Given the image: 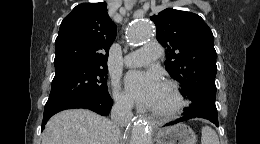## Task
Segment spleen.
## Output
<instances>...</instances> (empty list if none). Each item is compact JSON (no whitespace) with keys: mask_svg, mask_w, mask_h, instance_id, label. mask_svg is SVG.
<instances>
[{"mask_svg":"<svg viewBox=\"0 0 260 144\" xmlns=\"http://www.w3.org/2000/svg\"><path fill=\"white\" fill-rule=\"evenodd\" d=\"M201 132V144H219L218 135L211 127L203 126Z\"/></svg>","mask_w":260,"mask_h":144,"instance_id":"1","label":"spleen"}]
</instances>
